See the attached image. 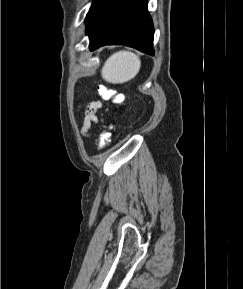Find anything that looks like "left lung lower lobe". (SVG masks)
Instances as JSON below:
<instances>
[{
	"mask_svg": "<svg viewBox=\"0 0 243 289\" xmlns=\"http://www.w3.org/2000/svg\"><path fill=\"white\" fill-rule=\"evenodd\" d=\"M86 27L90 50L124 44L154 55V28L146 0H94Z\"/></svg>",
	"mask_w": 243,
	"mask_h": 289,
	"instance_id": "1",
	"label": "left lung lower lobe"
}]
</instances>
